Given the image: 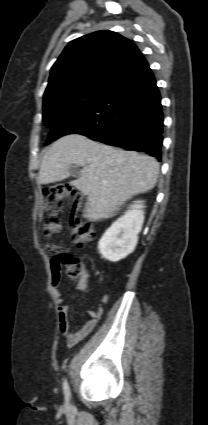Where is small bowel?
I'll return each mask as SVG.
<instances>
[{"mask_svg": "<svg viewBox=\"0 0 208 425\" xmlns=\"http://www.w3.org/2000/svg\"><path fill=\"white\" fill-rule=\"evenodd\" d=\"M59 271H55L52 268V291L57 301V313H58V325L61 335L65 338L68 346L76 345L80 340L87 337L96 327L97 322L103 314V308L101 304L105 303L108 299L107 295H104L100 300V306L95 310L89 312L90 319L79 329L72 330L69 317H68V305L64 303L59 289ZM82 288L88 291V286L85 281L82 283Z\"/></svg>", "mask_w": 208, "mask_h": 425, "instance_id": "c3829d8e", "label": "small bowel"}]
</instances>
